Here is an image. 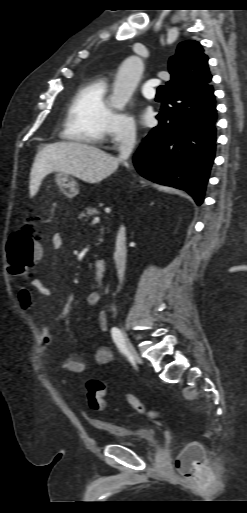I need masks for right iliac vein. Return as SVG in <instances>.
I'll use <instances>...</instances> for the list:
<instances>
[{
  "instance_id": "obj_1",
  "label": "right iliac vein",
  "mask_w": 247,
  "mask_h": 513,
  "mask_svg": "<svg viewBox=\"0 0 247 513\" xmlns=\"http://www.w3.org/2000/svg\"><path fill=\"white\" fill-rule=\"evenodd\" d=\"M123 337L125 339V343H126V346L128 348V351H129V354L133 357V359L137 362V363H142V360L140 359L139 355L137 354L133 344L131 343L130 339L128 338V335L126 334V332L123 330Z\"/></svg>"
}]
</instances>
